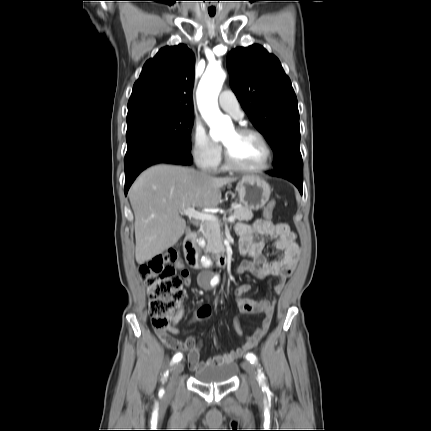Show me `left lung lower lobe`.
Listing matches in <instances>:
<instances>
[{
	"mask_svg": "<svg viewBox=\"0 0 431 431\" xmlns=\"http://www.w3.org/2000/svg\"><path fill=\"white\" fill-rule=\"evenodd\" d=\"M267 173L271 176L282 177L291 181L293 184H295V186L299 189L300 193L302 194L303 169H297L295 167L288 166L281 170L268 171Z\"/></svg>",
	"mask_w": 431,
	"mask_h": 431,
	"instance_id": "0a47b994",
	"label": "left lung lower lobe"
}]
</instances>
